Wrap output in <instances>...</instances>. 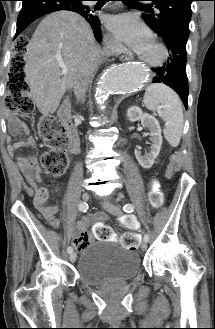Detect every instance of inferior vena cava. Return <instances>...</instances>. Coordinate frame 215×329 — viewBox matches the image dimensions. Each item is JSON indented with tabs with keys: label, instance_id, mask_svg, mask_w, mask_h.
<instances>
[{
	"label": "inferior vena cava",
	"instance_id": "1",
	"mask_svg": "<svg viewBox=\"0 0 215 329\" xmlns=\"http://www.w3.org/2000/svg\"><path fill=\"white\" fill-rule=\"evenodd\" d=\"M110 52L109 48H100L91 49L88 54L84 57L81 62L76 79L73 84L74 94L78 99H82L87 91L88 85L90 84L94 72L98 68V65L103 54H108Z\"/></svg>",
	"mask_w": 215,
	"mask_h": 329
}]
</instances>
